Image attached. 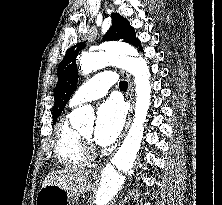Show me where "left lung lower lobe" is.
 I'll return each mask as SVG.
<instances>
[{"label": "left lung lower lobe", "instance_id": "left-lung-lower-lobe-1", "mask_svg": "<svg viewBox=\"0 0 222 205\" xmlns=\"http://www.w3.org/2000/svg\"><path fill=\"white\" fill-rule=\"evenodd\" d=\"M139 49H140L141 51H143V49H142V47H141V46L139 47Z\"/></svg>", "mask_w": 222, "mask_h": 205}]
</instances>
